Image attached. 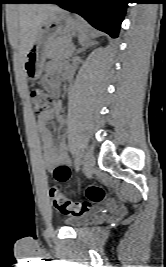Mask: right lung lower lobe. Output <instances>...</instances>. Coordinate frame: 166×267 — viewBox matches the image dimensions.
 Listing matches in <instances>:
<instances>
[{
    "instance_id": "1",
    "label": "right lung lower lobe",
    "mask_w": 166,
    "mask_h": 267,
    "mask_svg": "<svg viewBox=\"0 0 166 267\" xmlns=\"http://www.w3.org/2000/svg\"><path fill=\"white\" fill-rule=\"evenodd\" d=\"M39 0H29V1H27L28 3H36V2H38Z\"/></svg>"
}]
</instances>
